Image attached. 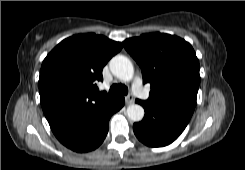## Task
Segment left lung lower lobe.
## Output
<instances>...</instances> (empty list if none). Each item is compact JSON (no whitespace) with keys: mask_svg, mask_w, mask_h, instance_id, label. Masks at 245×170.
I'll return each instance as SVG.
<instances>
[{"mask_svg":"<svg viewBox=\"0 0 245 170\" xmlns=\"http://www.w3.org/2000/svg\"><path fill=\"white\" fill-rule=\"evenodd\" d=\"M145 109V116L141 122L133 126L136 137L150 147H162L172 143L183 132L189 116L159 108L146 101L136 100Z\"/></svg>","mask_w":245,"mask_h":170,"instance_id":"left-lung-lower-lobe-1","label":"left lung lower lobe"}]
</instances>
